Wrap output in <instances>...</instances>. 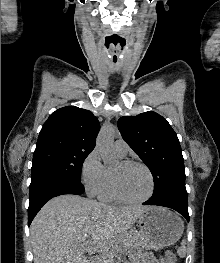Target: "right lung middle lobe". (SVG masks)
I'll return each instance as SVG.
<instances>
[{"mask_svg": "<svg viewBox=\"0 0 220 263\" xmlns=\"http://www.w3.org/2000/svg\"><path fill=\"white\" fill-rule=\"evenodd\" d=\"M90 150L53 148L34 152L32 178L38 175H55L81 182V169Z\"/></svg>", "mask_w": 220, "mask_h": 263, "instance_id": "1", "label": "right lung middle lobe"}]
</instances>
